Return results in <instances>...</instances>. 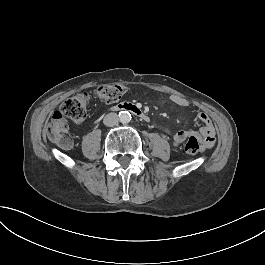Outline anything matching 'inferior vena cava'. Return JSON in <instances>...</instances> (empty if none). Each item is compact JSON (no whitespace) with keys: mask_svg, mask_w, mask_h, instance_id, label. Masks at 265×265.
<instances>
[{"mask_svg":"<svg viewBox=\"0 0 265 265\" xmlns=\"http://www.w3.org/2000/svg\"><path fill=\"white\" fill-rule=\"evenodd\" d=\"M118 122H119V117L116 113H109L103 119V123L108 127L115 126L118 124Z\"/></svg>","mask_w":265,"mask_h":265,"instance_id":"inferior-vena-cava-1","label":"inferior vena cava"}]
</instances>
